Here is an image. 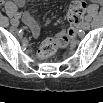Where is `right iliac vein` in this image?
<instances>
[{"label": "right iliac vein", "mask_w": 103, "mask_h": 103, "mask_svg": "<svg viewBox=\"0 0 103 103\" xmlns=\"http://www.w3.org/2000/svg\"><path fill=\"white\" fill-rule=\"evenodd\" d=\"M12 25L13 26H18L19 25V20L18 19H13L12 20Z\"/></svg>", "instance_id": "obj_1"}]
</instances>
